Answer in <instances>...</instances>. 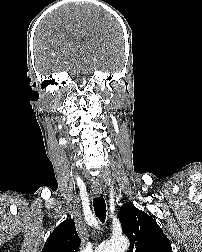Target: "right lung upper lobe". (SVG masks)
Wrapping results in <instances>:
<instances>
[{
    "instance_id": "right-lung-upper-lobe-1",
    "label": "right lung upper lobe",
    "mask_w": 202,
    "mask_h": 252,
    "mask_svg": "<svg viewBox=\"0 0 202 252\" xmlns=\"http://www.w3.org/2000/svg\"><path fill=\"white\" fill-rule=\"evenodd\" d=\"M79 243L74 221L67 219L50 234L42 252H78Z\"/></svg>"
}]
</instances>
